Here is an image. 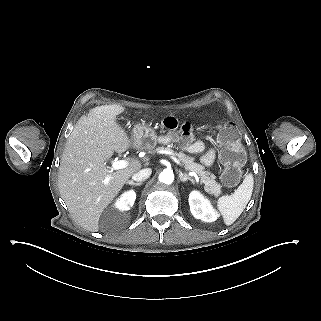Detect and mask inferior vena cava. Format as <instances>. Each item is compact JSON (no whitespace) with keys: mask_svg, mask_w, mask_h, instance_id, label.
<instances>
[{"mask_svg":"<svg viewBox=\"0 0 321 321\" xmlns=\"http://www.w3.org/2000/svg\"><path fill=\"white\" fill-rule=\"evenodd\" d=\"M151 174H152V170L150 168H145L135 173L132 176V179L137 182H142L147 180L151 176Z\"/></svg>","mask_w":321,"mask_h":321,"instance_id":"obj_1","label":"inferior vena cava"}]
</instances>
